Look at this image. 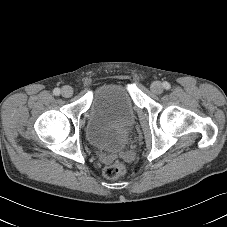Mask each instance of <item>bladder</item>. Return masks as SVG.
<instances>
[{
	"label": "bladder",
	"mask_w": 227,
	"mask_h": 227,
	"mask_svg": "<svg viewBox=\"0 0 227 227\" xmlns=\"http://www.w3.org/2000/svg\"><path fill=\"white\" fill-rule=\"evenodd\" d=\"M135 107L127 87L106 83L91 96L85 133L91 145L99 150H122L135 124Z\"/></svg>",
	"instance_id": "1"
}]
</instances>
